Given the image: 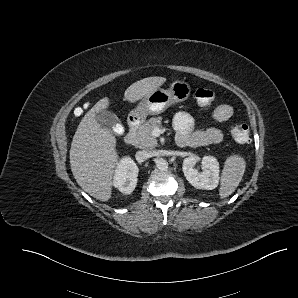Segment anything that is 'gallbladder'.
<instances>
[{
  "label": "gallbladder",
  "instance_id": "bac80fb5",
  "mask_svg": "<svg viewBox=\"0 0 298 298\" xmlns=\"http://www.w3.org/2000/svg\"><path fill=\"white\" fill-rule=\"evenodd\" d=\"M95 119L107 131H113L114 127L119 123V119L114 113L103 109L95 113Z\"/></svg>",
  "mask_w": 298,
  "mask_h": 298
}]
</instances>
